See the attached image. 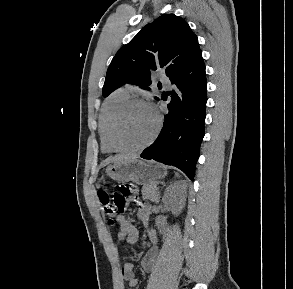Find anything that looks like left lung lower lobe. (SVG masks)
I'll use <instances>...</instances> for the list:
<instances>
[{"label": "left lung lower lobe", "instance_id": "1", "mask_svg": "<svg viewBox=\"0 0 293 289\" xmlns=\"http://www.w3.org/2000/svg\"><path fill=\"white\" fill-rule=\"evenodd\" d=\"M174 89L164 126L156 141L141 157L182 170L191 180L204 137L207 102L205 65L200 52L186 67L170 77Z\"/></svg>", "mask_w": 293, "mask_h": 289}]
</instances>
